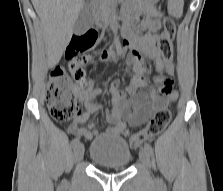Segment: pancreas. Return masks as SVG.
Returning a JSON list of instances; mask_svg holds the SVG:
<instances>
[{"label":"pancreas","mask_w":223,"mask_h":191,"mask_svg":"<svg viewBox=\"0 0 223 191\" xmlns=\"http://www.w3.org/2000/svg\"><path fill=\"white\" fill-rule=\"evenodd\" d=\"M119 1L120 0H98L95 3L93 14L96 24L99 27H104L110 22Z\"/></svg>","instance_id":"cf45deb5"}]
</instances>
